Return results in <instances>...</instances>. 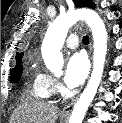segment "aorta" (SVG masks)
<instances>
[{"mask_svg":"<svg viewBox=\"0 0 122 123\" xmlns=\"http://www.w3.org/2000/svg\"><path fill=\"white\" fill-rule=\"evenodd\" d=\"M79 20H84L93 34V71L87 87L77 101L69 123H82L85 113L96 95L100 85L106 53L107 31L100 16L93 10L82 8L58 16L50 25L42 45V57L46 67L54 74L62 72L64 64L61 48L64 44L69 28Z\"/></svg>","mask_w":122,"mask_h":123,"instance_id":"obj_1","label":"aorta"}]
</instances>
